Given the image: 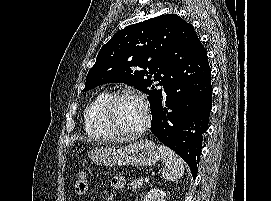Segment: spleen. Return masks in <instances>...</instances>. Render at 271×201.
Instances as JSON below:
<instances>
[{"instance_id": "3e777b00", "label": "spleen", "mask_w": 271, "mask_h": 201, "mask_svg": "<svg viewBox=\"0 0 271 201\" xmlns=\"http://www.w3.org/2000/svg\"><path fill=\"white\" fill-rule=\"evenodd\" d=\"M165 168L162 171L163 179L176 181L184 174V165L181 158L174 151L164 145L159 146Z\"/></svg>"}]
</instances>
